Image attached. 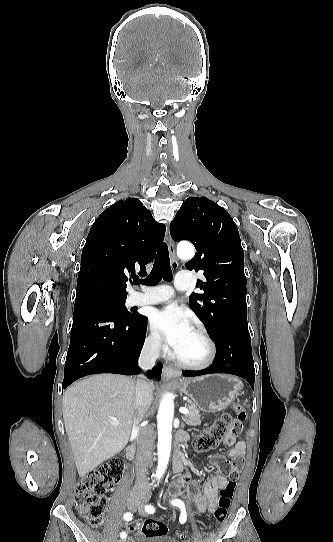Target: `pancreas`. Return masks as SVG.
Returning a JSON list of instances; mask_svg holds the SVG:
<instances>
[{
  "label": "pancreas",
  "instance_id": "pancreas-1",
  "mask_svg": "<svg viewBox=\"0 0 333 542\" xmlns=\"http://www.w3.org/2000/svg\"><path fill=\"white\" fill-rule=\"evenodd\" d=\"M186 402L187 404H184V406L185 408H188L189 414L182 416V420L185 424H188V426H198V424H201L202 416L193 402H190V400H186Z\"/></svg>",
  "mask_w": 333,
  "mask_h": 542
}]
</instances>
